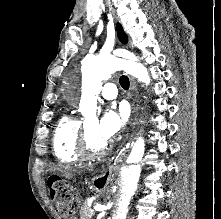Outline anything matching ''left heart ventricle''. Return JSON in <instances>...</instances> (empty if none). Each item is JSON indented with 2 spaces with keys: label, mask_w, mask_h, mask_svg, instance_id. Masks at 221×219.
Wrapping results in <instances>:
<instances>
[{
  "label": "left heart ventricle",
  "mask_w": 221,
  "mask_h": 219,
  "mask_svg": "<svg viewBox=\"0 0 221 219\" xmlns=\"http://www.w3.org/2000/svg\"><path fill=\"white\" fill-rule=\"evenodd\" d=\"M96 125L97 122L95 120H90L86 123L88 143L90 148L94 150L100 149L105 144V141L99 138L96 133Z\"/></svg>",
  "instance_id": "left-heart-ventricle-1"
}]
</instances>
